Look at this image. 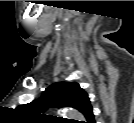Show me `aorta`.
<instances>
[{
    "label": "aorta",
    "instance_id": "obj_1",
    "mask_svg": "<svg viewBox=\"0 0 134 123\" xmlns=\"http://www.w3.org/2000/svg\"><path fill=\"white\" fill-rule=\"evenodd\" d=\"M63 112L67 117H69L71 119L82 118V116L79 112H77L76 110L71 109V108L65 109Z\"/></svg>",
    "mask_w": 134,
    "mask_h": 123
}]
</instances>
